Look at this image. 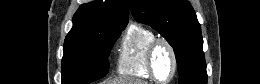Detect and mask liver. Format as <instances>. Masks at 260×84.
I'll list each match as a JSON object with an SVG mask.
<instances>
[{"label": "liver", "instance_id": "6515ba94", "mask_svg": "<svg viewBox=\"0 0 260 84\" xmlns=\"http://www.w3.org/2000/svg\"><path fill=\"white\" fill-rule=\"evenodd\" d=\"M103 84H145L143 81H134L129 79H119L114 81H109Z\"/></svg>", "mask_w": 260, "mask_h": 84}]
</instances>
